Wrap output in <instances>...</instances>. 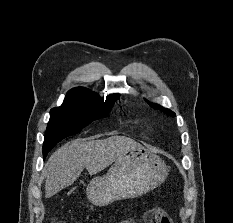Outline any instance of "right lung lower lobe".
<instances>
[{
  "label": "right lung lower lobe",
  "instance_id": "right-lung-lower-lobe-1",
  "mask_svg": "<svg viewBox=\"0 0 233 223\" xmlns=\"http://www.w3.org/2000/svg\"><path fill=\"white\" fill-rule=\"evenodd\" d=\"M47 153H48V152H47ZM47 153H44V152H43L44 157H46Z\"/></svg>",
  "mask_w": 233,
  "mask_h": 223
}]
</instances>
